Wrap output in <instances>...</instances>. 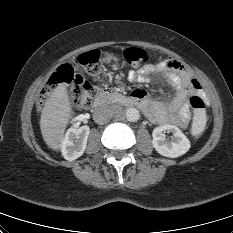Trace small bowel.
<instances>
[{"instance_id":"obj_1","label":"small bowel","mask_w":233,"mask_h":233,"mask_svg":"<svg viewBox=\"0 0 233 233\" xmlns=\"http://www.w3.org/2000/svg\"><path fill=\"white\" fill-rule=\"evenodd\" d=\"M128 78L132 82L149 83L155 78L164 79L177 88L175 96L168 102L153 101L143 89L133 92L135 102L156 123L186 127L191 118L190 94H202L201 83L188 69L174 58L131 70Z\"/></svg>"}]
</instances>
